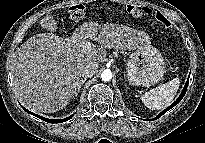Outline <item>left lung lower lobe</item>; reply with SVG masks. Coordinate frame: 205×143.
<instances>
[{
  "label": "left lung lower lobe",
  "instance_id": "obj_1",
  "mask_svg": "<svg viewBox=\"0 0 205 143\" xmlns=\"http://www.w3.org/2000/svg\"><path fill=\"white\" fill-rule=\"evenodd\" d=\"M188 82H189V79L187 80L186 84H185V87L181 93V95L178 97V99L172 104L170 105L167 109H165L164 111H162L155 119H158L159 117H161L164 113H166L168 110H170L172 107H174L175 105H177L181 100L182 98L184 97L185 93H186V90H187V86H188Z\"/></svg>",
  "mask_w": 205,
  "mask_h": 143
}]
</instances>
